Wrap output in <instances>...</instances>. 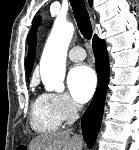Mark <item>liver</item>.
<instances>
[{
    "mask_svg": "<svg viewBox=\"0 0 139 150\" xmlns=\"http://www.w3.org/2000/svg\"><path fill=\"white\" fill-rule=\"evenodd\" d=\"M82 138L70 136V131L42 134L34 138L29 150H81Z\"/></svg>",
    "mask_w": 139,
    "mask_h": 150,
    "instance_id": "liver-1",
    "label": "liver"
}]
</instances>
